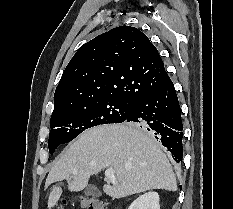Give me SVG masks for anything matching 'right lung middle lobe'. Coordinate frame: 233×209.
I'll return each mask as SVG.
<instances>
[{
	"mask_svg": "<svg viewBox=\"0 0 233 209\" xmlns=\"http://www.w3.org/2000/svg\"><path fill=\"white\" fill-rule=\"evenodd\" d=\"M133 102L108 98L85 104L62 114L51 116L48 147L50 154L64 143L72 141L84 130L108 123L125 120Z\"/></svg>",
	"mask_w": 233,
	"mask_h": 209,
	"instance_id": "1",
	"label": "right lung middle lobe"
}]
</instances>
